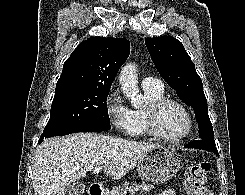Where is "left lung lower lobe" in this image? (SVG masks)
<instances>
[{"mask_svg":"<svg viewBox=\"0 0 245 195\" xmlns=\"http://www.w3.org/2000/svg\"><path fill=\"white\" fill-rule=\"evenodd\" d=\"M186 148H197V149H203L206 151H210L213 152L214 154H216L218 156V150L215 147V145H212L206 141L203 140H197V141H193L187 145H185Z\"/></svg>","mask_w":245,"mask_h":195,"instance_id":"0a47b994","label":"left lung lower lobe"}]
</instances>
